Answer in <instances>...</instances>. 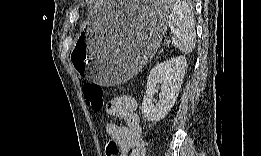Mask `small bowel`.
Wrapping results in <instances>:
<instances>
[{
	"mask_svg": "<svg viewBox=\"0 0 261 156\" xmlns=\"http://www.w3.org/2000/svg\"><path fill=\"white\" fill-rule=\"evenodd\" d=\"M136 110V100L129 95L116 96L106 105L109 116L125 122V125H118L109 121L104 125L106 134L117 144L122 156L145 155L146 145L142 139V127Z\"/></svg>",
	"mask_w": 261,
	"mask_h": 156,
	"instance_id": "c3829d8e",
	"label": "small bowel"
}]
</instances>
